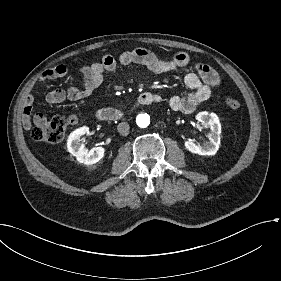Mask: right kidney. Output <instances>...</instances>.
Masks as SVG:
<instances>
[{"mask_svg":"<svg viewBox=\"0 0 281 281\" xmlns=\"http://www.w3.org/2000/svg\"><path fill=\"white\" fill-rule=\"evenodd\" d=\"M88 132L89 127L87 126H82L74 130L68 137L67 149L73 156L76 157L78 162L84 163L86 165H92L103 158L105 149L100 146L93 147L90 150L87 149L81 142V137Z\"/></svg>","mask_w":281,"mask_h":281,"instance_id":"1","label":"right kidney"}]
</instances>
